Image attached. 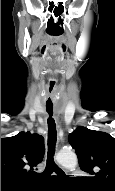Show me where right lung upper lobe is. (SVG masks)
<instances>
[{"mask_svg":"<svg viewBox=\"0 0 115 191\" xmlns=\"http://www.w3.org/2000/svg\"><path fill=\"white\" fill-rule=\"evenodd\" d=\"M44 138L39 134L20 132L1 139V187L18 189L44 156Z\"/></svg>","mask_w":115,"mask_h":191,"instance_id":"obj_1","label":"right lung upper lobe"}]
</instances>
